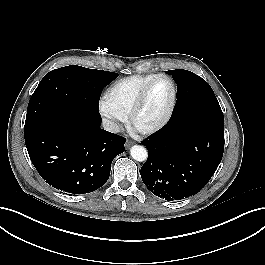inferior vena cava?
Segmentation results:
<instances>
[{
  "label": "inferior vena cava",
  "instance_id": "inferior-vena-cava-1",
  "mask_svg": "<svg viewBox=\"0 0 265 265\" xmlns=\"http://www.w3.org/2000/svg\"><path fill=\"white\" fill-rule=\"evenodd\" d=\"M102 125L106 131H109L112 133H118L121 130L120 126L117 123L110 121L108 119H103Z\"/></svg>",
  "mask_w": 265,
  "mask_h": 265
}]
</instances>
